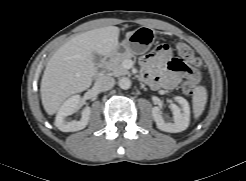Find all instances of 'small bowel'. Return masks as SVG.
<instances>
[{
  "instance_id": "obj_1",
  "label": "small bowel",
  "mask_w": 246,
  "mask_h": 181,
  "mask_svg": "<svg viewBox=\"0 0 246 181\" xmlns=\"http://www.w3.org/2000/svg\"><path fill=\"white\" fill-rule=\"evenodd\" d=\"M140 62L143 67V77L153 88H174L188 76L186 64L173 57L166 46L143 56Z\"/></svg>"
}]
</instances>
